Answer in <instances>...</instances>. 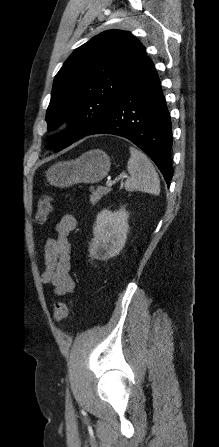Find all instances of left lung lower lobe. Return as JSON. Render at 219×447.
I'll return each mask as SVG.
<instances>
[{
	"label": "left lung lower lobe",
	"instance_id": "obj_1",
	"mask_svg": "<svg viewBox=\"0 0 219 447\" xmlns=\"http://www.w3.org/2000/svg\"><path fill=\"white\" fill-rule=\"evenodd\" d=\"M93 134L129 139L155 162L166 183H170L173 176L170 114L154 64L148 57L87 135Z\"/></svg>",
	"mask_w": 219,
	"mask_h": 447
}]
</instances>
